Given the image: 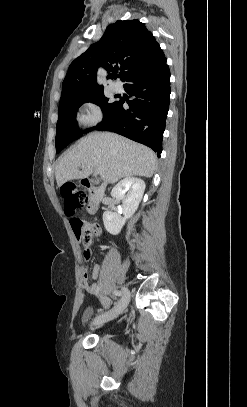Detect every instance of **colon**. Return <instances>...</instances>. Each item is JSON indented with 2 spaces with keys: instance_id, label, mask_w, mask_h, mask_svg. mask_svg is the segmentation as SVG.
<instances>
[{
  "instance_id": "1",
  "label": "colon",
  "mask_w": 247,
  "mask_h": 407,
  "mask_svg": "<svg viewBox=\"0 0 247 407\" xmlns=\"http://www.w3.org/2000/svg\"><path fill=\"white\" fill-rule=\"evenodd\" d=\"M60 193L64 200V212L67 216H73L76 210L82 208L87 202V195L79 191L73 183L63 185ZM70 223L76 237L87 249L99 231L98 226L86 224L77 218L71 219Z\"/></svg>"
}]
</instances>
